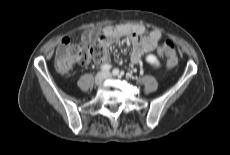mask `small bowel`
<instances>
[{
    "label": "small bowel",
    "instance_id": "1",
    "mask_svg": "<svg viewBox=\"0 0 230 155\" xmlns=\"http://www.w3.org/2000/svg\"><path fill=\"white\" fill-rule=\"evenodd\" d=\"M146 29L142 25L120 24L115 26H107L101 28L97 33L90 30L84 31L81 35V41L90 43L97 41L105 48V54L100 60H96L97 64L106 63L109 60L108 48L113 43L123 39L132 42L131 61L139 64L143 57L151 52H156L158 57L168 56L165 49V43L160 44L162 33L158 29H153L148 35H145Z\"/></svg>",
    "mask_w": 230,
    "mask_h": 155
}]
</instances>
